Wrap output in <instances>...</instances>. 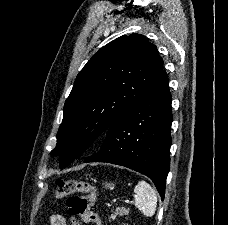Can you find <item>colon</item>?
I'll return each mask as SVG.
<instances>
[{
  "instance_id": "5ec220e1",
  "label": "colon",
  "mask_w": 228,
  "mask_h": 225,
  "mask_svg": "<svg viewBox=\"0 0 228 225\" xmlns=\"http://www.w3.org/2000/svg\"><path fill=\"white\" fill-rule=\"evenodd\" d=\"M55 187L57 199H68L69 214H76L77 217L92 225H102L99 215L94 211L96 189L92 183L74 179H57Z\"/></svg>"
}]
</instances>
